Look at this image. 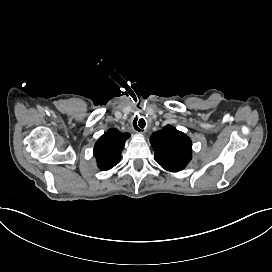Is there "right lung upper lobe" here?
Masks as SVG:
<instances>
[{
    "label": "right lung upper lobe",
    "mask_w": 272,
    "mask_h": 272,
    "mask_svg": "<svg viewBox=\"0 0 272 272\" xmlns=\"http://www.w3.org/2000/svg\"><path fill=\"white\" fill-rule=\"evenodd\" d=\"M130 134H122L117 129H109L94 146V155L100 170L106 171L119 163L125 141Z\"/></svg>",
    "instance_id": "right-lung-upper-lobe-1"
}]
</instances>
